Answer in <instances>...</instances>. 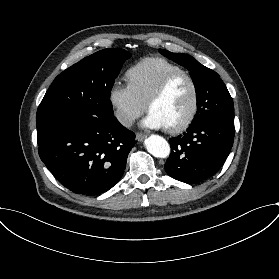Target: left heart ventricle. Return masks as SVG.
Returning <instances> with one entry per match:
<instances>
[{
    "instance_id": "b2bd125f",
    "label": "left heart ventricle",
    "mask_w": 279,
    "mask_h": 279,
    "mask_svg": "<svg viewBox=\"0 0 279 279\" xmlns=\"http://www.w3.org/2000/svg\"><path fill=\"white\" fill-rule=\"evenodd\" d=\"M193 102V88L186 77H181L159 100L151 105L150 111L162 118L167 127L180 124L189 114Z\"/></svg>"
}]
</instances>
